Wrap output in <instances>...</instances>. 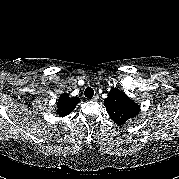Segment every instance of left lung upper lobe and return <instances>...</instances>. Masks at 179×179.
I'll return each instance as SVG.
<instances>
[{"instance_id": "1", "label": "left lung upper lobe", "mask_w": 179, "mask_h": 179, "mask_svg": "<svg viewBox=\"0 0 179 179\" xmlns=\"http://www.w3.org/2000/svg\"><path fill=\"white\" fill-rule=\"evenodd\" d=\"M104 106L111 119L119 125L129 122L140 111V106L117 88L109 92L104 100Z\"/></svg>"}]
</instances>
